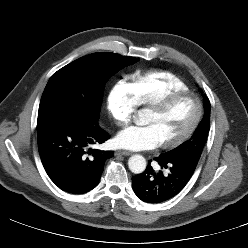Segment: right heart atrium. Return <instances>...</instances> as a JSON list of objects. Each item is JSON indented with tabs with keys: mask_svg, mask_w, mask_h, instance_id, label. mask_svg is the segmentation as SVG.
Here are the masks:
<instances>
[{
	"mask_svg": "<svg viewBox=\"0 0 248 248\" xmlns=\"http://www.w3.org/2000/svg\"><path fill=\"white\" fill-rule=\"evenodd\" d=\"M136 100L125 82L116 83L108 92L107 109L118 126H127L137 111Z\"/></svg>",
	"mask_w": 248,
	"mask_h": 248,
	"instance_id": "right-heart-atrium-1",
	"label": "right heart atrium"
}]
</instances>
